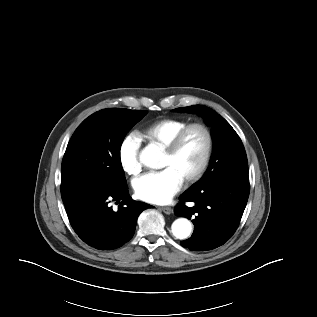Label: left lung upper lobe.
Listing matches in <instances>:
<instances>
[{
	"instance_id": "obj_1",
	"label": "left lung upper lobe",
	"mask_w": 317,
	"mask_h": 317,
	"mask_svg": "<svg viewBox=\"0 0 317 317\" xmlns=\"http://www.w3.org/2000/svg\"><path fill=\"white\" fill-rule=\"evenodd\" d=\"M179 112L198 113L212 127L213 153L204 176L192 187L212 184L235 175H248L247 156L241 139L231 125L209 107L193 105Z\"/></svg>"
}]
</instances>
